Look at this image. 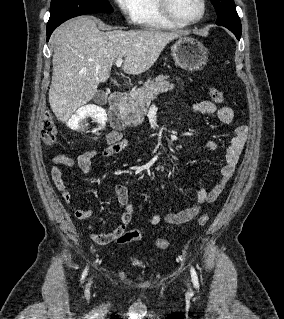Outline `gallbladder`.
Returning <instances> with one entry per match:
<instances>
[{"label": "gallbladder", "mask_w": 284, "mask_h": 319, "mask_svg": "<svg viewBox=\"0 0 284 319\" xmlns=\"http://www.w3.org/2000/svg\"><path fill=\"white\" fill-rule=\"evenodd\" d=\"M108 94L103 90H98L94 94L92 100L97 105H104L107 103Z\"/></svg>", "instance_id": "bac80fb5"}]
</instances>
